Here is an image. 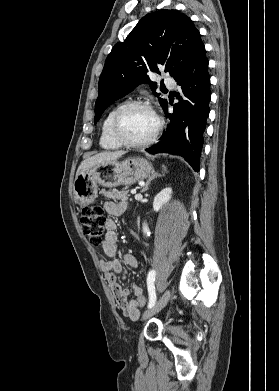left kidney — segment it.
Listing matches in <instances>:
<instances>
[{
    "label": "left kidney",
    "instance_id": "obj_1",
    "mask_svg": "<svg viewBox=\"0 0 279 391\" xmlns=\"http://www.w3.org/2000/svg\"><path fill=\"white\" fill-rule=\"evenodd\" d=\"M172 189L165 188L156 195L153 202L154 211L158 212L171 199Z\"/></svg>",
    "mask_w": 279,
    "mask_h": 391
}]
</instances>
